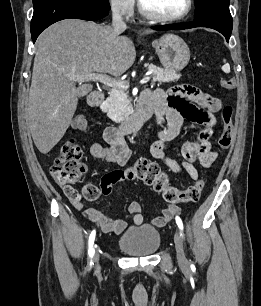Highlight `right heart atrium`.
<instances>
[{"instance_id":"d8ad5b80","label":"right heart atrium","mask_w":261,"mask_h":306,"mask_svg":"<svg viewBox=\"0 0 261 306\" xmlns=\"http://www.w3.org/2000/svg\"><path fill=\"white\" fill-rule=\"evenodd\" d=\"M109 4L113 13L118 16L129 18L134 13V0H109Z\"/></svg>"}]
</instances>
